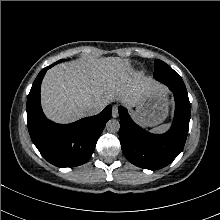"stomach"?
Listing matches in <instances>:
<instances>
[{
  "label": "stomach",
  "instance_id": "stomach-1",
  "mask_svg": "<svg viewBox=\"0 0 220 220\" xmlns=\"http://www.w3.org/2000/svg\"><path fill=\"white\" fill-rule=\"evenodd\" d=\"M169 99L164 88H159L145 97L133 112V116L140 124L152 127L162 123L168 116Z\"/></svg>",
  "mask_w": 220,
  "mask_h": 220
}]
</instances>
